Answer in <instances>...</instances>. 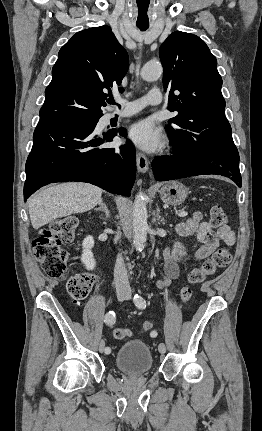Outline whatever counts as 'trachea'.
<instances>
[{
	"label": "trachea",
	"mask_w": 262,
	"mask_h": 431,
	"mask_svg": "<svg viewBox=\"0 0 262 431\" xmlns=\"http://www.w3.org/2000/svg\"><path fill=\"white\" fill-rule=\"evenodd\" d=\"M149 7V2L147 0H137V8L139 14H146ZM141 31H146L149 26H137ZM107 102L109 104H115L114 99H108ZM120 107V105H118Z\"/></svg>",
	"instance_id": "obj_1"
}]
</instances>
